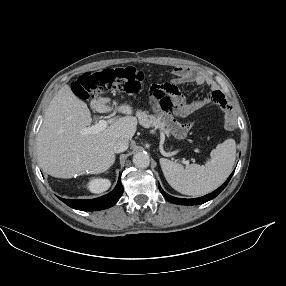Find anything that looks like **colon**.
<instances>
[{"label": "colon", "instance_id": "colon-1", "mask_svg": "<svg viewBox=\"0 0 286 286\" xmlns=\"http://www.w3.org/2000/svg\"><path fill=\"white\" fill-rule=\"evenodd\" d=\"M143 80L142 72L134 67H108L79 75L74 82V92L84 100L115 92L135 94L140 91ZM176 94L177 89L171 84H155L147 99L155 109L160 125L179 140H184L194 134V124H181L173 115L171 98Z\"/></svg>", "mask_w": 286, "mask_h": 286}]
</instances>
